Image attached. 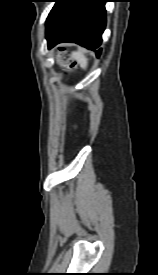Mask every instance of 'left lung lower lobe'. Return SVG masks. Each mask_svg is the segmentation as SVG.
Masks as SVG:
<instances>
[{"mask_svg":"<svg viewBox=\"0 0 158 275\" xmlns=\"http://www.w3.org/2000/svg\"><path fill=\"white\" fill-rule=\"evenodd\" d=\"M53 1L55 5L46 21L49 49L62 42H74L99 56L106 26V0Z\"/></svg>","mask_w":158,"mask_h":275,"instance_id":"1","label":"left lung lower lobe"}]
</instances>
